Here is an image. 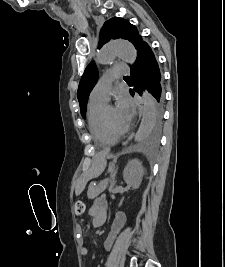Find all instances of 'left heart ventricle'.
Returning a JSON list of instances; mask_svg holds the SVG:
<instances>
[{
	"label": "left heart ventricle",
	"mask_w": 225,
	"mask_h": 267,
	"mask_svg": "<svg viewBox=\"0 0 225 267\" xmlns=\"http://www.w3.org/2000/svg\"><path fill=\"white\" fill-rule=\"evenodd\" d=\"M107 120L111 127L115 130H123L125 126L120 121L116 109L114 107H109L106 112Z\"/></svg>",
	"instance_id": "b2bd125f"
}]
</instances>
